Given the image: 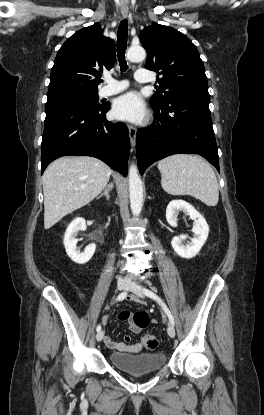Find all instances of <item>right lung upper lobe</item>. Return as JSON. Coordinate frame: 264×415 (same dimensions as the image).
Instances as JSON below:
<instances>
[{"instance_id":"obj_1","label":"right lung upper lobe","mask_w":264,"mask_h":415,"mask_svg":"<svg viewBox=\"0 0 264 415\" xmlns=\"http://www.w3.org/2000/svg\"><path fill=\"white\" fill-rule=\"evenodd\" d=\"M115 63V43L98 23L73 34L59 49L51 70L48 98L98 93L103 70Z\"/></svg>"}]
</instances>
